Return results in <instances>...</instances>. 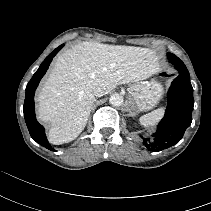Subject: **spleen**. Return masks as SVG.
<instances>
[{
    "instance_id": "1",
    "label": "spleen",
    "mask_w": 211,
    "mask_h": 211,
    "mask_svg": "<svg viewBox=\"0 0 211 211\" xmlns=\"http://www.w3.org/2000/svg\"><path fill=\"white\" fill-rule=\"evenodd\" d=\"M164 107L158 108L146 115L140 117V123L144 127L155 125L164 116Z\"/></svg>"
}]
</instances>
